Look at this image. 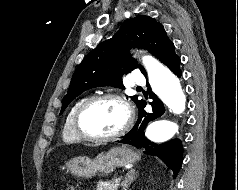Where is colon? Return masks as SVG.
I'll use <instances>...</instances> for the list:
<instances>
[{
  "mask_svg": "<svg viewBox=\"0 0 238 190\" xmlns=\"http://www.w3.org/2000/svg\"><path fill=\"white\" fill-rule=\"evenodd\" d=\"M66 190H77V189L75 187L70 186Z\"/></svg>",
  "mask_w": 238,
  "mask_h": 190,
  "instance_id": "obj_1",
  "label": "colon"
}]
</instances>
